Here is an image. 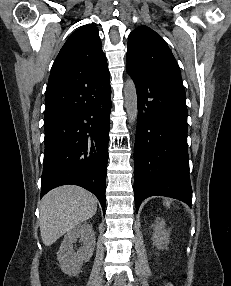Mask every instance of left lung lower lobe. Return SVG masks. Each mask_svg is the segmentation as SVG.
<instances>
[{
  "instance_id": "1",
  "label": "left lung lower lobe",
  "mask_w": 231,
  "mask_h": 286,
  "mask_svg": "<svg viewBox=\"0 0 231 286\" xmlns=\"http://www.w3.org/2000/svg\"><path fill=\"white\" fill-rule=\"evenodd\" d=\"M126 69L138 98L134 146L136 210L145 198L154 195L176 198L191 206L184 87Z\"/></svg>"
}]
</instances>
